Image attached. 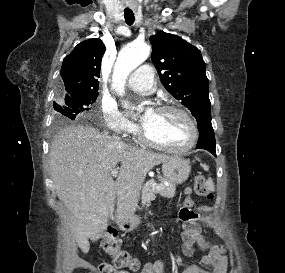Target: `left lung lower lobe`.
I'll use <instances>...</instances> for the list:
<instances>
[{
  "label": "left lung lower lobe",
  "instance_id": "left-lung-lower-lobe-1",
  "mask_svg": "<svg viewBox=\"0 0 285 273\" xmlns=\"http://www.w3.org/2000/svg\"><path fill=\"white\" fill-rule=\"evenodd\" d=\"M199 140L197 149H205L215 154V136L211 124V118H205L198 121Z\"/></svg>",
  "mask_w": 285,
  "mask_h": 273
}]
</instances>
